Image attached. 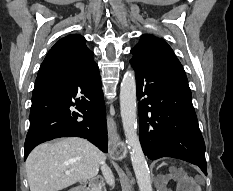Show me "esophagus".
Instances as JSON below:
<instances>
[{
  "label": "esophagus",
  "instance_id": "obj_1",
  "mask_svg": "<svg viewBox=\"0 0 233 191\" xmlns=\"http://www.w3.org/2000/svg\"><path fill=\"white\" fill-rule=\"evenodd\" d=\"M107 126L109 137L108 151H110V156H122L126 153V147L117 132L116 122L110 115L107 117Z\"/></svg>",
  "mask_w": 233,
  "mask_h": 191
}]
</instances>
